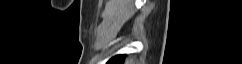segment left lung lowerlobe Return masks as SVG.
I'll return each instance as SVG.
<instances>
[{
    "instance_id": "left-lung-lower-lobe-1",
    "label": "left lung lower lobe",
    "mask_w": 242,
    "mask_h": 64,
    "mask_svg": "<svg viewBox=\"0 0 242 64\" xmlns=\"http://www.w3.org/2000/svg\"><path fill=\"white\" fill-rule=\"evenodd\" d=\"M124 57H125V55L114 56L107 62V64H122Z\"/></svg>"
}]
</instances>
